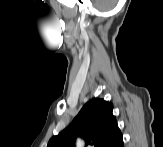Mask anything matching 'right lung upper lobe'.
<instances>
[{
  "label": "right lung upper lobe",
  "instance_id": "cb5924a9",
  "mask_svg": "<svg viewBox=\"0 0 163 147\" xmlns=\"http://www.w3.org/2000/svg\"><path fill=\"white\" fill-rule=\"evenodd\" d=\"M112 110L113 105L104 99H91L66 129L49 140L47 147H74L78 136L86 145L111 147L122 136Z\"/></svg>",
  "mask_w": 163,
  "mask_h": 147
}]
</instances>
